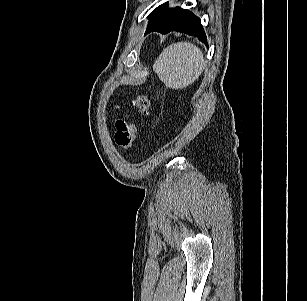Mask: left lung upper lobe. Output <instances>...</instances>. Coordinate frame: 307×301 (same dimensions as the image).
I'll return each instance as SVG.
<instances>
[{
  "mask_svg": "<svg viewBox=\"0 0 307 301\" xmlns=\"http://www.w3.org/2000/svg\"><path fill=\"white\" fill-rule=\"evenodd\" d=\"M170 10L171 8H168V2L160 5L155 10H153L148 16L150 21L148 23L147 28L162 20L170 12Z\"/></svg>",
  "mask_w": 307,
  "mask_h": 301,
  "instance_id": "5c2ea615",
  "label": "left lung upper lobe"
}]
</instances>
